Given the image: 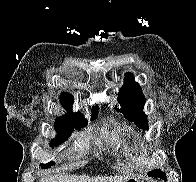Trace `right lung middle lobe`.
<instances>
[{"label":"right lung middle lobe","mask_w":196,"mask_h":182,"mask_svg":"<svg viewBox=\"0 0 196 182\" xmlns=\"http://www.w3.org/2000/svg\"><path fill=\"white\" fill-rule=\"evenodd\" d=\"M97 113L92 115V120L95 119ZM87 120L84 117L72 116V115H65L59 117L55 121V130L57 132V138L52 140L51 146H57L61 143L62 140L67 139L68 136L71 135V132L74 128L81 129L82 127L86 126ZM53 162H49L47 164H41L43 168L49 167L53 165Z\"/></svg>","instance_id":"dd1d6c3e"}]
</instances>
